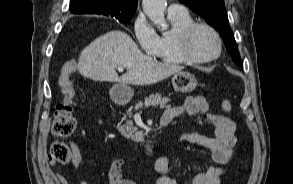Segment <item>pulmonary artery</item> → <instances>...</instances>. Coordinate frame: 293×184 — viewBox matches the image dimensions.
I'll list each match as a JSON object with an SVG mask.
<instances>
[{
  "label": "pulmonary artery",
  "instance_id": "1",
  "mask_svg": "<svg viewBox=\"0 0 293 184\" xmlns=\"http://www.w3.org/2000/svg\"><path fill=\"white\" fill-rule=\"evenodd\" d=\"M168 15H179L187 13L186 8L178 3H172L168 6Z\"/></svg>",
  "mask_w": 293,
  "mask_h": 184
}]
</instances>
